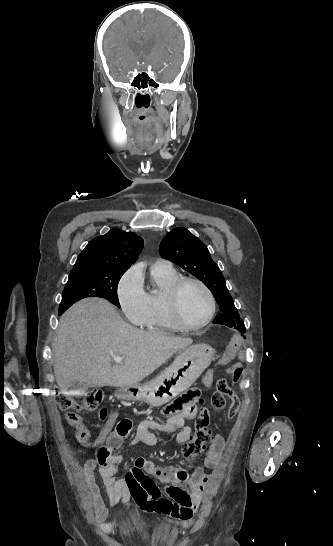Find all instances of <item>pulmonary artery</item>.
Returning a JSON list of instances; mask_svg holds the SVG:
<instances>
[{
	"instance_id": "1",
	"label": "pulmonary artery",
	"mask_w": 333,
	"mask_h": 546,
	"mask_svg": "<svg viewBox=\"0 0 333 546\" xmlns=\"http://www.w3.org/2000/svg\"><path fill=\"white\" fill-rule=\"evenodd\" d=\"M152 268H163V269H167V268H172V265L169 261L167 260H164V259H158L156 260L152 266Z\"/></svg>"
}]
</instances>
